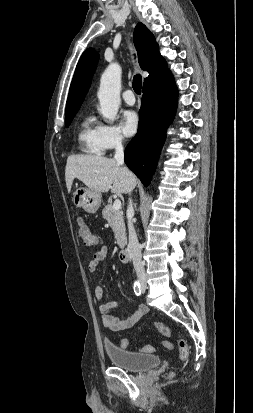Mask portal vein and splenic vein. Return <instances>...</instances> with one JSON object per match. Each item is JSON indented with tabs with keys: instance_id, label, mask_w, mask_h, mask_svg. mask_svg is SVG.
I'll return each instance as SVG.
<instances>
[{
	"instance_id": "1",
	"label": "portal vein and splenic vein",
	"mask_w": 253,
	"mask_h": 413,
	"mask_svg": "<svg viewBox=\"0 0 253 413\" xmlns=\"http://www.w3.org/2000/svg\"><path fill=\"white\" fill-rule=\"evenodd\" d=\"M120 208H121V201L119 199H116L113 203V209L120 210Z\"/></svg>"
}]
</instances>
